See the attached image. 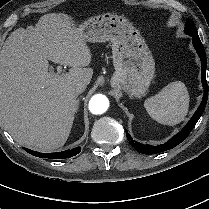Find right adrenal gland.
<instances>
[{"label":"right adrenal gland","mask_w":209,"mask_h":209,"mask_svg":"<svg viewBox=\"0 0 209 209\" xmlns=\"http://www.w3.org/2000/svg\"><path fill=\"white\" fill-rule=\"evenodd\" d=\"M79 103H80V99L77 100V105H76V112L78 111L79 109Z\"/></svg>","instance_id":"2a0ac1e0"}]
</instances>
